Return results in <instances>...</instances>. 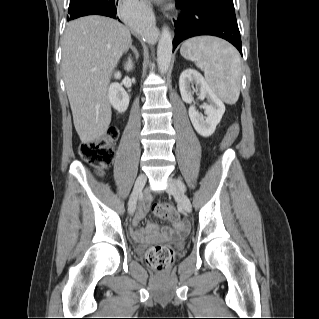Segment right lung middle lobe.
Instances as JSON below:
<instances>
[{"label":"right lung middle lobe","instance_id":"dd1d6c3e","mask_svg":"<svg viewBox=\"0 0 319 319\" xmlns=\"http://www.w3.org/2000/svg\"><path fill=\"white\" fill-rule=\"evenodd\" d=\"M90 0H70L68 13L73 14L80 8H82L86 3H88Z\"/></svg>","mask_w":319,"mask_h":319}]
</instances>
